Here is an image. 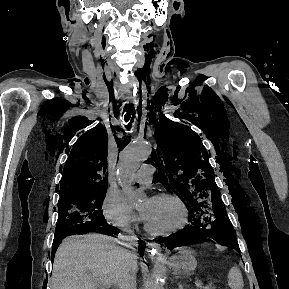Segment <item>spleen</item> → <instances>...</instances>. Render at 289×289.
I'll use <instances>...</instances> for the list:
<instances>
[{
	"label": "spleen",
	"mask_w": 289,
	"mask_h": 289,
	"mask_svg": "<svg viewBox=\"0 0 289 289\" xmlns=\"http://www.w3.org/2000/svg\"><path fill=\"white\" fill-rule=\"evenodd\" d=\"M228 285L231 289H243L242 274L236 266H233L228 272Z\"/></svg>",
	"instance_id": "obj_1"
}]
</instances>
